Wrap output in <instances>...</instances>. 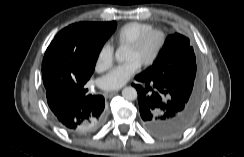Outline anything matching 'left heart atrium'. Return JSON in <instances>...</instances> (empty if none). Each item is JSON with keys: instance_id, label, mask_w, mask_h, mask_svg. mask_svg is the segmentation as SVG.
I'll return each mask as SVG.
<instances>
[{"instance_id": "1", "label": "left heart atrium", "mask_w": 244, "mask_h": 157, "mask_svg": "<svg viewBox=\"0 0 244 157\" xmlns=\"http://www.w3.org/2000/svg\"><path fill=\"white\" fill-rule=\"evenodd\" d=\"M140 67L141 64L136 60H128L116 66L102 78L101 87L108 91L120 89L139 71Z\"/></svg>"}]
</instances>
